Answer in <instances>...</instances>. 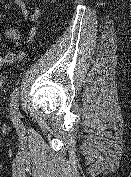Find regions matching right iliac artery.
I'll return each instance as SVG.
<instances>
[{"label":"right iliac artery","instance_id":"1","mask_svg":"<svg viewBox=\"0 0 131 177\" xmlns=\"http://www.w3.org/2000/svg\"><path fill=\"white\" fill-rule=\"evenodd\" d=\"M18 96H19L18 88H15L14 91L12 92L10 103L11 114L14 118L18 116Z\"/></svg>","mask_w":131,"mask_h":177}]
</instances>
